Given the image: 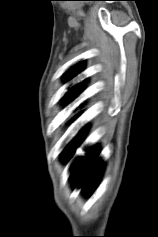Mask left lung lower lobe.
Instances as JSON below:
<instances>
[{"instance_id": "left-lung-lower-lobe-1", "label": "left lung lower lobe", "mask_w": 158, "mask_h": 237, "mask_svg": "<svg viewBox=\"0 0 158 237\" xmlns=\"http://www.w3.org/2000/svg\"><path fill=\"white\" fill-rule=\"evenodd\" d=\"M98 151L90 149L84 158L76 162L72 172V180L75 185L84 184L86 189L95 187L99 178V173L94 167L99 166L100 162L97 160Z\"/></svg>"}]
</instances>
